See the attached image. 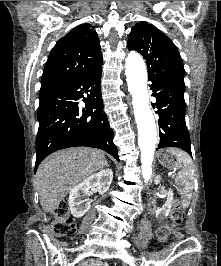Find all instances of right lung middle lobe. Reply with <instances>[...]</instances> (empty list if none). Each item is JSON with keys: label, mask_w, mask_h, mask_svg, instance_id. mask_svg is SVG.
I'll list each match as a JSON object with an SVG mask.
<instances>
[{"label": "right lung middle lobe", "mask_w": 221, "mask_h": 266, "mask_svg": "<svg viewBox=\"0 0 221 266\" xmlns=\"http://www.w3.org/2000/svg\"><path fill=\"white\" fill-rule=\"evenodd\" d=\"M55 87H52V86H44V87H41L40 88V94H39V97L40 96H43L44 94L48 93L49 91L53 90Z\"/></svg>", "instance_id": "obj_1"}]
</instances>
